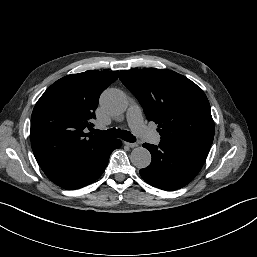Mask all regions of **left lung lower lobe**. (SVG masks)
Returning <instances> with one entry per match:
<instances>
[{
	"label": "left lung lower lobe",
	"mask_w": 257,
	"mask_h": 257,
	"mask_svg": "<svg viewBox=\"0 0 257 257\" xmlns=\"http://www.w3.org/2000/svg\"><path fill=\"white\" fill-rule=\"evenodd\" d=\"M211 144L163 143L158 146L145 143L152 155L151 164L140 170L150 185L173 191L191 182L201 170Z\"/></svg>",
	"instance_id": "obj_1"
}]
</instances>
